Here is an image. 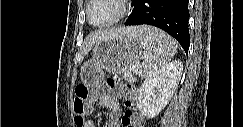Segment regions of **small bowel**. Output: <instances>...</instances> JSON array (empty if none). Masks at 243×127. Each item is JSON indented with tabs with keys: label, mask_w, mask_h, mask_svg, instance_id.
I'll return each mask as SVG.
<instances>
[{
	"label": "small bowel",
	"mask_w": 243,
	"mask_h": 127,
	"mask_svg": "<svg viewBox=\"0 0 243 127\" xmlns=\"http://www.w3.org/2000/svg\"><path fill=\"white\" fill-rule=\"evenodd\" d=\"M98 106L108 111L107 126L108 127H119V119L121 116V105L119 101L111 96L99 98ZM85 127H95V121L88 120Z\"/></svg>",
	"instance_id": "obj_1"
}]
</instances>
